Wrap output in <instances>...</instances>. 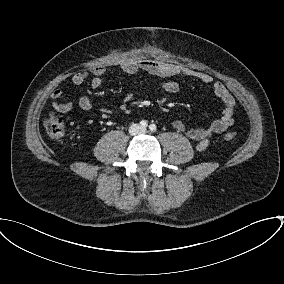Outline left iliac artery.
<instances>
[{"label": "left iliac artery", "mask_w": 284, "mask_h": 284, "mask_svg": "<svg viewBox=\"0 0 284 284\" xmlns=\"http://www.w3.org/2000/svg\"><path fill=\"white\" fill-rule=\"evenodd\" d=\"M149 129H150L151 132H154L156 130V125L155 124H151L149 126Z\"/></svg>", "instance_id": "44dca946"}]
</instances>
